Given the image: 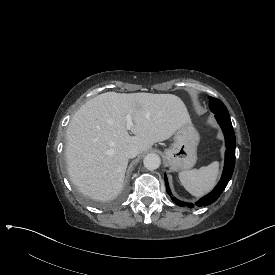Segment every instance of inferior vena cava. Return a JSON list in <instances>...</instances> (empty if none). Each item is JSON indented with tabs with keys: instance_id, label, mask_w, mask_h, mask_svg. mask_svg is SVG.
I'll use <instances>...</instances> for the list:
<instances>
[{
	"instance_id": "obj_1",
	"label": "inferior vena cava",
	"mask_w": 275,
	"mask_h": 275,
	"mask_svg": "<svg viewBox=\"0 0 275 275\" xmlns=\"http://www.w3.org/2000/svg\"><path fill=\"white\" fill-rule=\"evenodd\" d=\"M124 153L127 158H135L139 154V148L134 144L125 146Z\"/></svg>"
}]
</instances>
